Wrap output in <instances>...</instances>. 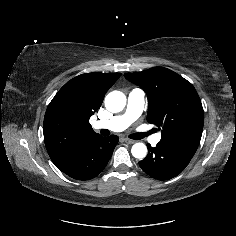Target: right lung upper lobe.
Instances as JSON below:
<instances>
[{
	"mask_svg": "<svg viewBox=\"0 0 236 236\" xmlns=\"http://www.w3.org/2000/svg\"><path fill=\"white\" fill-rule=\"evenodd\" d=\"M120 73H85L68 81L47 107L43 131L47 152L60 167L96 137L89 124Z\"/></svg>",
	"mask_w": 236,
	"mask_h": 236,
	"instance_id": "obj_1",
	"label": "right lung upper lobe"
}]
</instances>
